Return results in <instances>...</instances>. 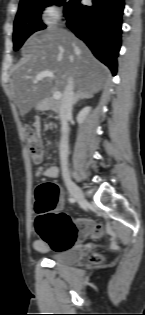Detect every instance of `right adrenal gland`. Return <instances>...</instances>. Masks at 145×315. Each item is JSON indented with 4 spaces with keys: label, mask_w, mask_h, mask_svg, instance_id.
Returning <instances> with one entry per match:
<instances>
[{
    "label": "right adrenal gland",
    "mask_w": 145,
    "mask_h": 315,
    "mask_svg": "<svg viewBox=\"0 0 145 315\" xmlns=\"http://www.w3.org/2000/svg\"><path fill=\"white\" fill-rule=\"evenodd\" d=\"M93 95L87 94V93H77L74 99V105L81 99L84 98H91Z\"/></svg>",
    "instance_id": "1"
}]
</instances>
